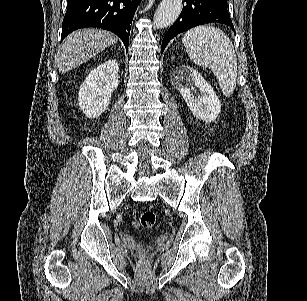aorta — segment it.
<instances>
[{"instance_id": "762f6f07", "label": "aorta", "mask_w": 307, "mask_h": 301, "mask_svg": "<svg viewBox=\"0 0 307 301\" xmlns=\"http://www.w3.org/2000/svg\"><path fill=\"white\" fill-rule=\"evenodd\" d=\"M181 10L182 0H161L153 16L155 28L171 26V24L177 20Z\"/></svg>"}]
</instances>
